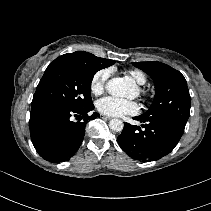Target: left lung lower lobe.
Listing matches in <instances>:
<instances>
[{"mask_svg":"<svg viewBox=\"0 0 211 211\" xmlns=\"http://www.w3.org/2000/svg\"><path fill=\"white\" fill-rule=\"evenodd\" d=\"M141 129L129 123L118 137L119 146L134 159L150 162L169 154L179 142L185 126L165 116L134 117Z\"/></svg>","mask_w":211,"mask_h":211,"instance_id":"0a47b994","label":"left lung lower lobe"}]
</instances>
